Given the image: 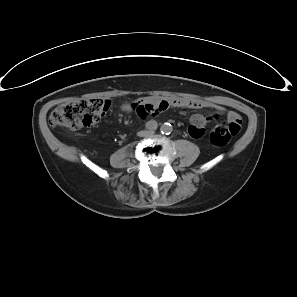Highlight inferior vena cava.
I'll list each match as a JSON object with an SVG mask.
<instances>
[{"instance_id": "obj_1", "label": "inferior vena cava", "mask_w": 297, "mask_h": 297, "mask_svg": "<svg viewBox=\"0 0 297 297\" xmlns=\"http://www.w3.org/2000/svg\"><path fill=\"white\" fill-rule=\"evenodd\" d=\"M153 133V131H140L139 133H138V135L139 136H143V137H145V136H149V135H151Z\"/></svg>"}]
</instances>
